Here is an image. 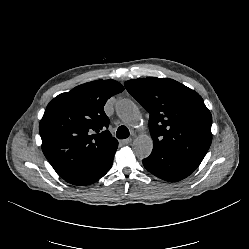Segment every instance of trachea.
I'll return each instance as SVG.
<instances>
[{
	"label": "trachea",
	"instance_id": "trachea-1",
	"mask_svg": "<svg viewBox=\"0 0 249 249\" xmlns=\"http://www.w3.org/2000/svg\"><path fill=\"white\" fill-rule=\"evenodd\" d=\"M130 135V132L128 130V128L126 126H120L118 129H117V132H116V137L118 139H126L128 138Z\"/></svg>",
	"mask_w": 249,
	"mask_h": 249
}]
</instances>
